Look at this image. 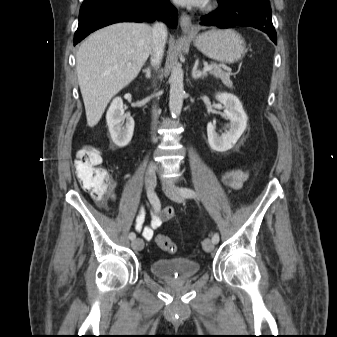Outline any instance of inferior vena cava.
Masks as SVG:
<instances>
[{
    "instance_id": "602c4592",
    "label": "inferior vena cava",
    "mask_w": 337,
    "mask_h": 337,
    "mask_svg": "<svg viewBox=\"0 0 337 337\" xmlns=\"http://www.w3.org/2000/svg\"><path fill=\"white\" fill-rule=\"evenodd\" d=\"M152 32H153V48L151 51V64L154 67H156L160 64L161 59L163 57L164 46L167 39V29L163 23L157 22L153 26ZM152 113H153V124L155 125L158 117V111L155 107L153 108Z\"/></svg>"
}]
</instances>
